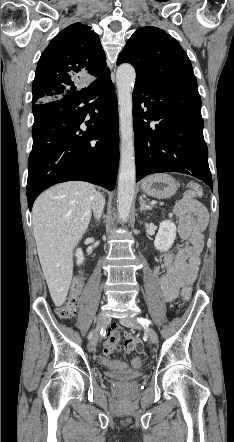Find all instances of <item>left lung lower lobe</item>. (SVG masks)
Returning a JSON list of instances; mask_svg holds the SVG:
<instances>
[{"instance_id": "0a47b994", "label": "left lung lower lobe", "mask_w": 234, "mask_h": 442, "mask_svg": "<svg viewBox=\"0 0 234 442\" xmlns=\"http://www.w3.org/2000/svg\"><path fill=\"white\" fill-rule=\"evenodd\" d=\"M133 126L136 182L153 173L180 172L213 189L197 86L136 82Z\"/></svg>"}]
</instances>
